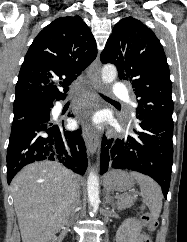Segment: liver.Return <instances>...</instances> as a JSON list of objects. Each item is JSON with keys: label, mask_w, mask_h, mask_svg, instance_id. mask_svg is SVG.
Returning <instances> with one entry per match:
<instances>
[{"label": "liver", "mask_w": 187, "mask_h": 242, "mask_svg": "<svg viewBox=\"0 0 187 242\" xmlns=\"http://www.w3.org/2000/svg\"><path fill=\"white\" fill-rule=\"evenodd\" d=\"M80 178L58 162L42 161L24 167L11 190L22 242H42L67 225L71 187Z\"/></svg>", "instance_id": "6515ba94"}]
</instances>
